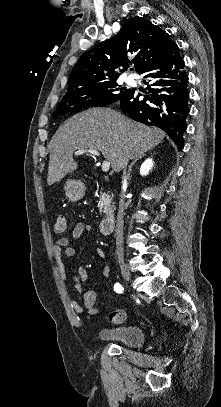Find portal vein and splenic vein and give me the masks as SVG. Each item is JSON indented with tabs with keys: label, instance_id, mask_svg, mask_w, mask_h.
Listing matches in <instances>:
<instances>
[{
	"label": "portal vein and splenic vein",
	"instance_id": "portal-vein-and-splenic-vein-1",
	"mask_svg": "<svg viewBox=\"0 0 221 407\" xmlns=\"http://www.w3.org/2000/svg\"><path fill=\"white\" fill-rule=\"evenodd\" d=\"M84 153H91L93 155L100 156V153L97 150H94V149H78V150L75 151V155H82ZM101 168H102L103 172L109 171L110 162L107 161V160H104L102 162Z\"/></svg>",
	"mask_w": 221,
	"mask_h": 407
}]
</instances>
